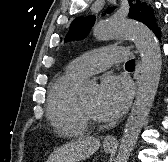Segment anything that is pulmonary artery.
Returning <instances> with one entry per match:
<instances>
[{"instance_id": "1", "label": "pulmonary artery", "mask_w": 168, "mask_h": 162, "mask_svg": "<svg viewBox=\"0 0 168 162\" xmlns=\"http://www.w3.org/2000/svg\"><path fill=\"white\" fill-rule=\"evenodd\" d=\"M126 48L107 46L95 49L73 60L69 69L77 76L83 78L91 74L99 73L109 68L113 63L127 59Z\"/></svg>"}]
</instances>
